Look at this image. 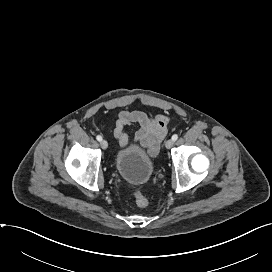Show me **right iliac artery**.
Here are the masks:
<instances>
[{
    "label": "right iliac artery",
    "mask_w": 272,
    "mask_h": 272,
    "mask_svg": "<svg viewBox=\"0 0 272 272\" xmlns=\"http://www.w3.org/2000/svg\"><path fill=\"white\" fill-rule=\"evenodd\" d=\"M96 139H97L98 141H101V140H102V136L97 135V136H96Z\"/></svg>",
    "instance_id": "obj_1"
}]
</instances>
